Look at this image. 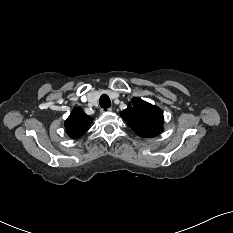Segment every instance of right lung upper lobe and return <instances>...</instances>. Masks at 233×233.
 <instances>
[{"label":"right lung upper lobe","instance_id":"cb5924a9","mask_svg":"<svg viewBox=\"0 0 233 233\" xmlns=\"http://www.w3.org/2000/svg\"><path fill=\"white\" fill-rule=\"evenodd\" d=\"M92 120L81 108H74L64 123L67 134L72 138L80 137L89 129Z\"/></svg>","mask_w":233,"mask_h":233}]
</instances>
